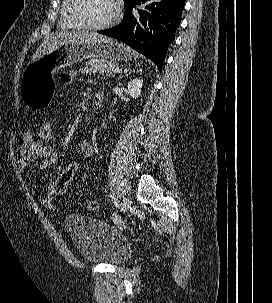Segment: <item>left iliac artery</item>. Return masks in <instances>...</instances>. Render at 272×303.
Wrapping results in <instances>:
<instances>
[{
    "instance_id": "1",
    "label": "left iliac artery",
    "mask_w": 272,
    "mask_h": 303,
    "mask_svg": "<svg viewBox=\"0 0 272 303\" xmlns=\"http://www.w3.org/2000/svg\"><path fill=\"white\" fill-rule=\"evenodd\" d=\"M112 199H113L114 205H115L117 208H119L120 204H119L118 199H117L115 196H112Z\"/></svg>"
}]
</instances>
